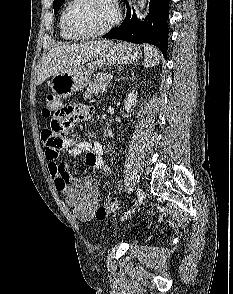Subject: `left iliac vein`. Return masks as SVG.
Returning <instances> with one entry per match:
<instances>
[{
	"label": "left iliac vein",
	"mask_w": 233,
	"mask_h": 294,
	"mask_svg": "<svg viewBox=\"0 0 233 294\" xmlns=\"http://www.w3.org/2000/svg\"><path fill=\"white\" fill-rule=\"evenodd\" d=\"M135 209H136V207H134V208H133V207H130V208H129V212L124 213V214L122 215L120 221H121V222H124V221H126L127 219H129V218L131 217V215L135 212Z\"/></svg>",
	"instance_id": "obj_1"
}]
</instances>
